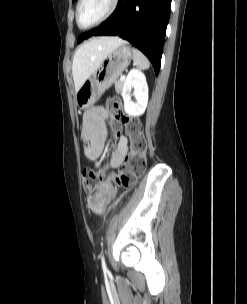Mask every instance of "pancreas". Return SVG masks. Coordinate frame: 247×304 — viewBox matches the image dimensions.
<instances>
[{
	"instance_id": "pancreas-1",
	"label": "pancreas",
	"mask_w": 247,
	"mask_h": 304,
	"mask_svg": "<svg viewBox=\"0 0 247 304\" xmlns=\"http://www.w3.org/2000/svg\"><path fill=\"white\" fill-rule=\"evenodd\" d=\"M123 83H124V81H121V80L115 82V90L117 93H119L121 91Z\"/></svg>"
}]
</instances>
